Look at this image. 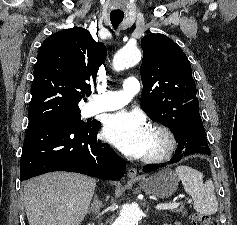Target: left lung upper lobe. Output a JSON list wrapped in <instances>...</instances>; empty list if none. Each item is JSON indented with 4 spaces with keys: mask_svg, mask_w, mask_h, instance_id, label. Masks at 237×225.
<instances>
[{
    "mask_svg": "<svg viewBox=\"0 0 237 225\" xmlns=\"http://www.w3.org/2000/svg\"><path fill=\"white\" fill-rule=\"evenodd\" d=\"M141 46V107L152 120L174 132L191 115L199 113L190 62L182 49L163 34L144 36Z\"/></svg>",
    "mask_w": 237,
    "mask_h": 225,
    "instance_id": "left-lung-upper-lobe-1",
    "label": "left lung upper lobe"
}]
</instances>
